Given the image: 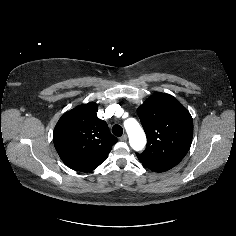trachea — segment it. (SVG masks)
<instances>
[{"label": "trachea", "instance_id": "3493384b", "mask_svg": "<svg viewBox=\"0 0 236 236\" xmlns=\"http://www.w3.org/2000/svg\"><path fill=\"white\" fill-rule=\"evenodd\" d=\"M112 133L117 136V137H120L122 134H123V129L120 125H114L112 127Z\"/></svg>", "mask_w": 236, "mask_h": 236}]
</instances>
